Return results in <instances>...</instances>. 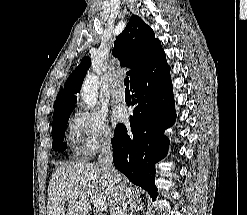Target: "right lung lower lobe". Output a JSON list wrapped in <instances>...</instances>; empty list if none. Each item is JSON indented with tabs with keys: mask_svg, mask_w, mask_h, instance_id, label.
<instances>
[{
	"mask_svg": "<svg viewBox=\"0 0 247 215\" xmlns=\"http://www.w3.org/2000/svg\"><path fill=\"white\" fill-rule=\"evenodd\" d=\"M138 104L130 117V128L118 124L113 138V162L135 185L146 190L153 200L158 196L155 186V163L168 152L169 139L165 129L176 119L170 67L165 53L131 82Z\"/></svg>",
	"mask_w": 247,
	"mask_h": 215,
	"instance_id": "right-lung-lower-lobe-1",
	"label": "right lung lower lobe"
}]
</instances>
